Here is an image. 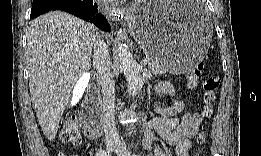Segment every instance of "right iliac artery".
<instances>
[{
	"instance_id": "1",
	"label": "right iliac artery",
	"mask_w": 261,
	"mask_h": 156,
	"mask_svg": "<svg viewBox=\"0 0 261 156\" xmlns=\"http://www.w3.org/2000/svg\"><path fill=\"white\" fill-rule=\"evenodd\" d=\"M96 155L97 156H107V155H109V152H107L105 150H99Z\"/></svg>"
}]
</instances>
